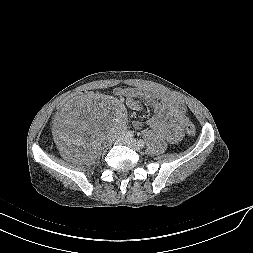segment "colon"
<instances>
[{"instance_id":"colon-1","label":"colon","mask_w":253,"mask_h":253,"mask_svg":"<svg viewBox=\"0 0 253 253\" xmlns=\"http://www.w3.org/2000/svg\"><path fill=\"white\" fill-rule=\"evenodd\" d=\"M93 94V91L91 89H83L76 92H72L70 95H68L63 103L57 104V109L59 111H65L68 110L69 107L76 101L84 96H91ZM185 132L189 136H193L196 132L195 126L191 122H187L185 124Z\"/></svg>"}]
</instances>
